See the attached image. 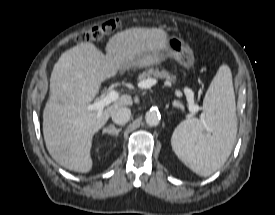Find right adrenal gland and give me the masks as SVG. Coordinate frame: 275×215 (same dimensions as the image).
<instances>
[{
  "mask_svg": "<svg viewBox=\"0 0 275 215\" xmlns=\"http://www.w3.org/2000/svg\"><path fill=\"white\" fill-rule=\"evenodd\" d=\"M122 131V128H115L114 125H110L109 127L105 128L103 130V134L108 133L109 135H115L116 137L118 136V134Z\"/></svg>",
  "mask_w": 275,
  "mask_h": 215,
  "instance_id": "2a0ac1e0",
  "label": "right adrenal gland"
}]
</instances>
